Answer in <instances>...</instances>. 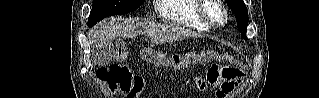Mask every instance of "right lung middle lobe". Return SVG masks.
<instances>
[{
    "mask_svg": "<svg viewBox=\"0 0 319 98\" xmlns=\"http://www.w3.org/2000/svg\"><path fill=\"white\" fill-rule=\"evenodd\" d=\"M143 3L144 0H93L88 26L92 27L108 16L132 12Z\"/></svg>",
    "mask_w": 319,
    "mask_h": 98,
    "instance_id": "dd1d6c3e",
    "label": "right lung middle lobe"
}]
</instances>
